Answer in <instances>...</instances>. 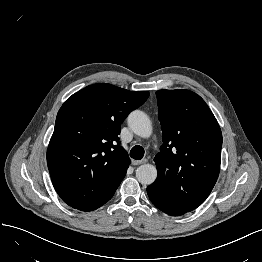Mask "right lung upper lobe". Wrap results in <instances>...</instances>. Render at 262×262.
Segmentation results:
<instances>
[{"mask_svg":"<svg viewBox=\"0 0 262 262\" xmlns=\"http://www.w3.org/2000/svg\"><path fill=\"white\" fill-rule=\"evenodd\" d=\"M149 97L99 83L83 88L60 108L47 150L52 183L62 200L95 209L112 198L130 159L118 135L127 115Z\"/></svg>","mask_w":262,"mask_h":262,"instance_id":"cb5924a9","label":"right lung upper lobe"}]
</instances>
